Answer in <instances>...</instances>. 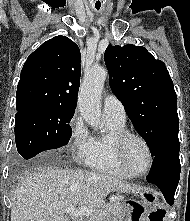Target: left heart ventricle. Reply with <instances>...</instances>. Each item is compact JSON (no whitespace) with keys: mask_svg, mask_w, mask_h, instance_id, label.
<instances>
[{"mask_svg":"<svg viewBox=\"0 0 190 221\" xmlns=\"http://www.w3.org/2000/svg\"><path fill=\"white\" fill-rule=\"evenodd\" d=\"M125 158L128 165L136 172H143L148 166V153L137 139H129L125 147Z\"/></svg>","mask_w":190,"mask_h":221,"instance_id":"left-heart-ventricle-1","label":"left heart ventricle"}]
</instances>
